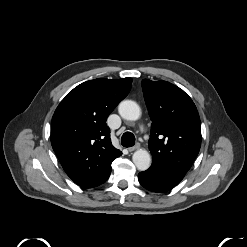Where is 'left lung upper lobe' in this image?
<instances>
[{
    "instance_id": "5c2ea615",
    "label": "left lung upper lobe",
    "mask_w": 247,
    "mask_h": 247,
    "mask_svg": "<svg viewBox=\"0 0 247 247\" xmlns=\"http://www.w3.org/2000/svg\"><path fill=\"white\" fill-rule=\"evenodd\" d=\"M144 99L152 120L149 149L155 170L179 183L201 146V123L192 99L166 82L142 81Z\"/></svg>"
}]
</instances>
